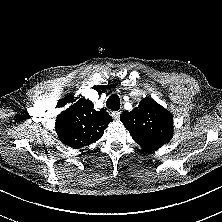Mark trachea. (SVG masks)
<instances>
[{
    "instance_id": "1",
    "label": "trachea",
    "mask_w": 222,
    "mask_h": 222,
    "mask_svg": "<svg viewBox=\"0 0 222 222\" xmlns=\"http://www.w3.org/2000/svg\"><path fill=\"white\" fill-rule=\"evenodd\" d=\"M106 106L112 110V111H117L120 109V98L117 94H113L111 95L107 102H106Z\"/></svg>"
}]
</instances>
